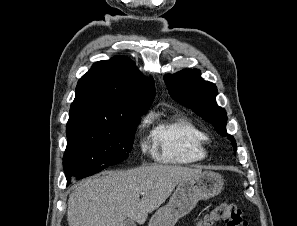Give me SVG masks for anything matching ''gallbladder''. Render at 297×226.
<instances>
[{"label":"gallbladder","instance_id":"1","mask_svg":"<svg viewBox=\"0 0 297 226\" xmlns=\"http://www.w3.org/2000/svg\"><path fill=\"white\" fill-rule=\"evenodd\" d=\"M123 226H136L135 222L132 220H125Z\"/></svg>","mask_w":297,"mask_h":226}]
</instances>
